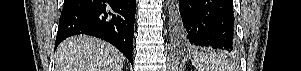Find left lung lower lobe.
Here are the masks:
<instances>
[{
    "mask_svg": "<svg viewBox=\"0 0 301 71\" xmlns=\"http://www.w3.org/2000/svg\"><path fill=\"white\" fill-rule=\"evenodd\" d=\"M170 13L176 43L186 47L235 49L232 0H172Z\"/></svg>",
    "mask_w": 301,
    "mask_h": 71,
    "instance_id": "obj_1",
    "label": "left lung lower lobe"
}]
</instances>
